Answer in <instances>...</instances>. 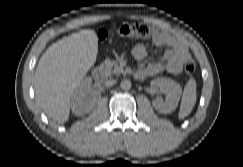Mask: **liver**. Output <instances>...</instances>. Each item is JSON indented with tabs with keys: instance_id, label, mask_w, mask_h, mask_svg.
I'll return each mask as SVG.
<instances>
[{
	"instance_id": "1",
	"label": "liver",
	"mask_w": 243,
	"mask_h": 167,
	"mask_svg": "<svg viewBox=\"0 0 243 167\" xmlns=\"http://www.w3.org/2000/svg\"><path fill=\"white\" fill-rule=\"evenodd\" d=\"M97 53L96 34L82 30L52 44L40 58L35 72L36 99L59 124L68 121L70 99L94 65Z\"/></svg>"
}]
</instances>
